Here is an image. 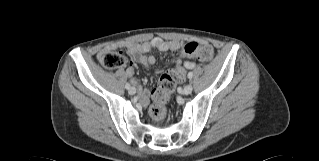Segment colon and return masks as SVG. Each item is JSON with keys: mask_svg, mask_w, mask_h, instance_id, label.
<instances>
[{"mask_svg": "<svg viewBox=\"0 0 319 161\" xmlns=\"http://www.w3.org/2000/svg\"><path fill=\"white\" fill-rule=\"evenodd\" d=\"M183 54L185 56L197 55L201 61H209L214 57L213 49L205 46L199 49V43L196 41H188L183 46ZM102 65L109 69L115 70L125 66L128 59L123 52L107 51L101 56ZM182 82V68H173L160 78L157 88L153 92V104L151 107V115L158 121H164L167 117V104L171 93Z\"/></svg>", "mask_w": 319, "mask_h": 161, "instance_id": "1", "label": "colon"}]
</instances>
